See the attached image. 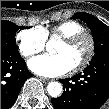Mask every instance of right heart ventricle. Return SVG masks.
<instances>
[{"label": "right heart ventricle", "instance_id": "obj_1", "mask_svg": "<svg viewBox=\"0 0 109 109\" xmlns=\"http://www.w3.org/2000/svg\"><path fill=\"white\" fill-rule=\"evenodd\" d=\"M46 37L66 38L77 32L84 31V26L77 21H64L49 27H40Z\"/></svg>", "mask_w": 109, "mask_h": 109}]
</instances>
